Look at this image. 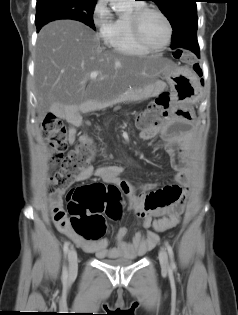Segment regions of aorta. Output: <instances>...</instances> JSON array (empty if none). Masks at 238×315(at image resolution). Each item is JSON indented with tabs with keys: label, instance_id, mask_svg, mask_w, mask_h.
<instances>
[{
	"label": "aorta",
	"instance_id": "obj_1",
	"mask_svg": "<svg viewBox=\"0 0 238 315\" xmlns=\"http://www.w3.org/2000/svg\"><path fill=\"white\" fill-rule=\"evenodd\" d=\"M112 9L116 12H122L126 9L125 0H108Z\"/></svg>",
	"mask_w": 238,
	"mask_h": 315
}]
</instances>
